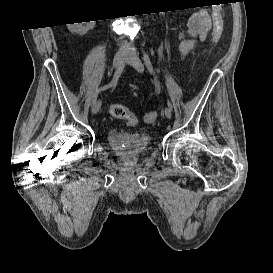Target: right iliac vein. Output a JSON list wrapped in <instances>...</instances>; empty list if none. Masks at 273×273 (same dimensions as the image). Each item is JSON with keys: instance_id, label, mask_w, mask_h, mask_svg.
Returning a JSON list of instances; mask_svg holds the SVG:
<instances>
[{"instance_id": "1", "label": "right iliac vein", "mask_w": 273, "mask_h": 273, "mask_svg": "<svg viewBox=\"0 0 273 273\" xmlns=\"http://www.w3.org/2000/svg\"><path fill=\"white\" fill-rule=\"evenodd\" d=\"M126 56H127L126 51H119V52L116 54V56H115V58H114V60H113V68H114L115 70H118V69L122 66L123 61H124V59L126 58ZM100 107H101V101L98 100V101H96L95 104L92 106V109H91L92 114L98 113V111L100 110Z\"/></svg>"}]
</instances>
